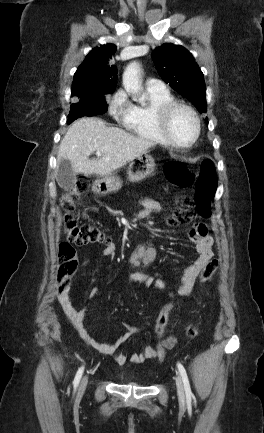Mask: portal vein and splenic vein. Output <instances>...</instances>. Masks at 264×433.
Listing matches in <instances>:
<instances>
[{
    "mask_svg": "<svg viewBox=\"0 0 264 433\" xmlns=\"http://www.w3.org/2000/svg\"><path fill=\"white\" fill-rule=\"evenodd\" d=\"M96 155H97V156H101L100 151H96Z\"/></svg>",
    "mask_w": 264,
    "mask_h": 433,
    "instance_id": "1",
    "label": "portal vein and splenic vein"
}]
</instances>
